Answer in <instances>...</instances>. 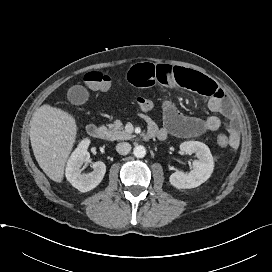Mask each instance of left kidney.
I'll list each match as a JSON object with an SVG mask.
<instances>
[{
	"label": "left kidney",
	"mask_w": 272,
	"mask_h": 272,
	"mask_svg": "<svg viewBox=\"0 0 272 272\" xmlns=\"http://www.w3.org/2000/svg\"><path fill=\"white\" fill-rule=\"evenodd\" d=\"M180 149L186 154L195 153L198 160L193 161V170L189 173L176 171L171 174L169 181L177 189H190L200 186L212 174L214 161L207 145L198 141L181 143Z\"/></svg>",
	"instance_id": "5707ae66"
}]
</instances>
